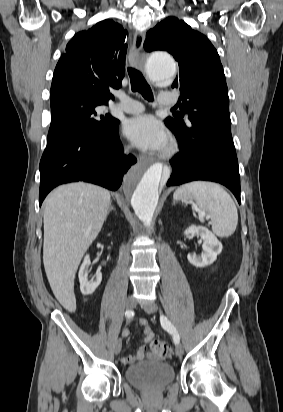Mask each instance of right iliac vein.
<instances>
[{"label": "right iliac vein", "instance_id": "right-iliac-vein-1", "mask_svg": "<svg viewBox=\"0 0 283 412\" xmlns=\"http://www.w3.org/2000/svg\"><path fill=\"white\" fill-rule=\"evenodd\" d=\"M135 305V299L130 296L128 297L127 301H126V306L128 309H132ZM122 348V341L120 338H117L114 342V352L115 354H119Z\"/></svg>", "mask_w": 283, "mask_h": 412}]
</instances>
